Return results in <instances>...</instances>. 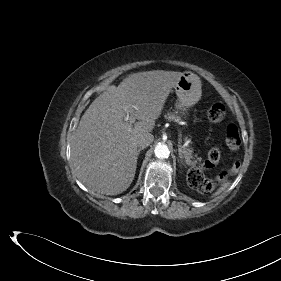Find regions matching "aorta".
<instances>
[{"label": "aorta", "instance_id": "762f6f07", "mask_svg": "<svg viewBox=\"0 0 281 281\" xmlns=\"http://www.w3.org/2000/svg\"><path fill=\"white\" fill-rule=\"evenodd\" d=\"M155 156L159 159H164L169 156V149L168 146L162 143H158L154 150Z\"/></svg>", "mask_w": 281, "mask_h": 281}]
</instances>
